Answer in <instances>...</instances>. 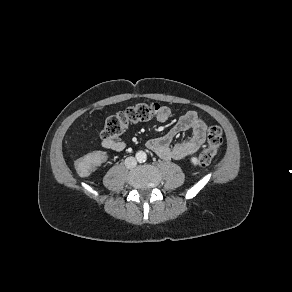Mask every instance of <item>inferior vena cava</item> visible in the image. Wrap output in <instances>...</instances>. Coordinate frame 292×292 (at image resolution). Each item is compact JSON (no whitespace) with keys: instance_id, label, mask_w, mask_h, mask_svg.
<instances>
[{"instance_id":"602c4592","label":"inferior vena cava","mask_w":292,"mask_h":292,"mask_svg":"<svg viewBox=\"0 0 292 292\" xmlns=\"http://www.w3.org/2000/svg\"><path fill=\"white\" fill-rule=\"evenodd\" d=\"M137 165V161L134 157H127L125 159V166L128 168V169H131L133 167H135Z\"/></svg>"}]
</instances>
